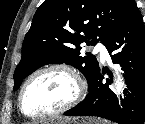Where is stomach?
Returning <instances> with one entry per match:
<instances>
[{"label": "stomach", "instance_id": "1", "mask_svg": "<svg viewBox=\"0 0 145 124\" xmlns=\"http://www.w3.org/2000/svg\"><path fill=\"white\" fill-rule=\"evenodd\" d=\"M43 124H105L95 119H71V118H57L51 119Z\"/></svg>", "mask_w": 145, "mask_h": 124}]
</instances>
